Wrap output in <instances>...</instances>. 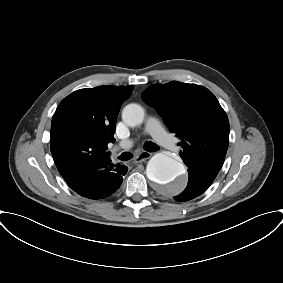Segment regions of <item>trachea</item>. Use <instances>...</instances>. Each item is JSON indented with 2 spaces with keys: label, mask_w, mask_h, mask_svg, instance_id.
Listing matches in <instances>:
<instances>
[{
  "label": "trachea",
  "mask_w": 283,
  "mask_h": 283,
  "mask_svg": "<svg viewBox=\"0 0 283 283\" xmlns=\"http://www.w3.org/2000/svg\"><path fill=\"white\" fill-rule=\"evenodd\" d=\"M144 149L148 152H154V151L159 150V147L155 143L148 141V142L145 143ZM130 158H131V154L129 152H123L119 156V159L122 160V161H127Z\"/></svg>",
  "instance_id": "3493384b"
}]
</instances>
